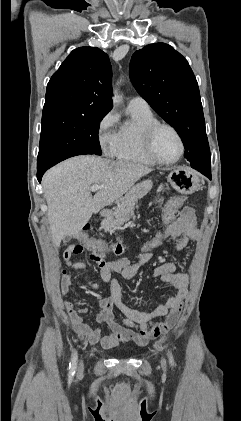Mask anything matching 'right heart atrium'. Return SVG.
<instances>
[{
	"label": "right heart atrium",
	"instance_id": "d8ad5b80",
	"mask_svg": "<svg viewBox=\"0 0 241 421\" xmlns=\"http://www.w3.org/2000/svg\"><path fill=\"white\" fill-rule=\"evenodd\" d=\"M115 123L116 116L110 111L107 112L99 121L97 127V138L102 151L106 154H111L115 137Z\"/></svg>",
	"mask_w": 241,
	"mask_h": 421
}]
</instances>
